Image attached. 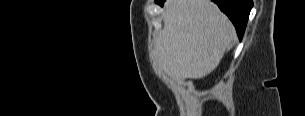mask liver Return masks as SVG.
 Here are the masks:
<instances>
[{
    "mask_svg": "<svg viewBox=\"0 0 305 116\" xmlns=\"http://www.w3.org/2000/svg\"><path fill=\"white\" fill-rule=\"evenodd\" d=\"M154 41L158 66L173 79H198L219 65L235 28L211 0H167Z\"/></svg>",
    "mask_w": 305,
    "mask_h": 116,
    "instance_id": "obj_1",
    "label": "liver"
}]
</instances>
